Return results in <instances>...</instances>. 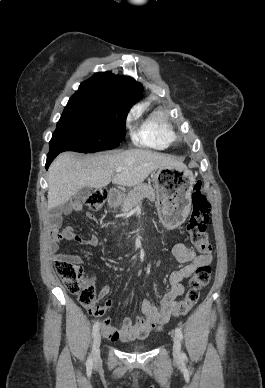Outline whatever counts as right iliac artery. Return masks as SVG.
I'll return each instance as SVG.
<instances>
[{
    "label": "right iliac artery",
    "mask_w": 265,
    "mask_h": 388,
    "mask_svg": "<svg viewBox=\"0 0 265 388\" xmlns=\"http://www.w3.org/2000/svg\"><path fill=\"white\" fill-rule=\"evenodd\" d=\"M99 321H96L95 324L93 325V330H92V335L95 336L99 330ZM93 364L92 357L89 356L86 362L87 367L91 368Z\"/></svg>",
    "instance_id": "82829eb1"
}]
</instances>
